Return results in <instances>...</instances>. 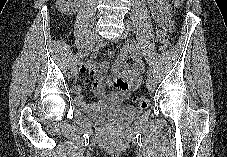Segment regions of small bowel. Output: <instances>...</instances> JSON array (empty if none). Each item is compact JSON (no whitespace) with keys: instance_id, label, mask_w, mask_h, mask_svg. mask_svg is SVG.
Wrapping results in <instances>:
<instances>
[{"instance_id":"obj_1","label":"small bowel","mask_w":227,"mask_h":157,"mask_svg":"<svg viewBox=\"0 0 227 157\" xmlns=\"http://www.w3.org/2000/svg\"><path fill=\"white\" fill-rule=\"evenodd\" d=\"M148 7L155 21L165 26L170 23L172 7L169 0H147ZM128 55L132 59V67L127 63ZM107 62L88 61L80 66L79 71L87 72L93 77L92 91L100 99L98 102H86L82 96V88L75 85L72 92L75 95L77 106L86 112L102 109L110 104H117L128 98L131 91L135 90L144 71V63L136 43L129 42L120 52L114 64L113 72L108 75ZM105 86L115 87V91L107 94Z\"/></svg>"}]
</instances>
